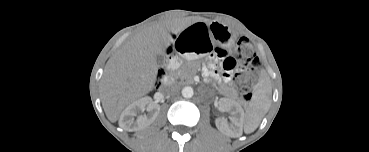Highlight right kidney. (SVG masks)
Listing matches in <instances>:
<instances>
[{
    "label": "right kidney",
    "mask_w": 369,
    "mask_h": 152,
    "mask_svg": "<svg viewBox=\"0 0 369 152\" xmlns=\"http://www.w3.org/2000/svg\"><path fill=\"white\" fill-rule=\"evenodd\" d=\"M145 110L148 114L138 115ZM159 110L160 106L155 104L151 97H143L125 108L121 114V120L124 121L129 128L140 130L154 122L158 116Z\"/></svg>",
    "instance_id": "obj_1"
}]
</instances>
